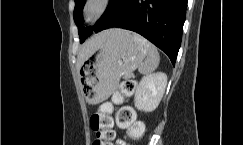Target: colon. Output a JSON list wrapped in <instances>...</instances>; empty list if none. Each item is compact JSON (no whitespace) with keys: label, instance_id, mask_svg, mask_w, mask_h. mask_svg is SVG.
Masks as SVG:
<instances>
[{"label":"colon","instance_id":"obj_1","mask_svg":"<svg viewBox=\"0 0 243 145\" xmlns=\"http://www.w3.org/2000/svg\"><path fill=\"white\" fill-rule=\"evenodd\" d=\"M136 88V82L132 79H125L120 83L119 91L115 95V101L118 103L123 96L133 94ZM113 106L110 103H104L100 106L98 112L90 118V127L96 132V139L93 145H112L115 137L113 130L114 120L111 116ZM115 122L119 128L127 129L129 136L133 140H139L144 135V124L136 120L135 111L129 106L121 107L115 116Z\"/></svg>","mask_w":243,"mask_h":145}]
</instances>
